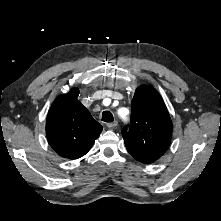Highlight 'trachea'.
<instances>
[{"mask_svg":"<svg viewBox=\"0 0 221 221\" xmlns=\"http://www.w3.org/2000/svg\"><path fill=\"white\" fill-rule=\"evenodd\" d=\"M101 117V120L104 122H112L114 120L113 115L110 111H104Z\"/></svg>","mask_w":221,"mask_h":221,"instance_id":"3493384b","label":"trachea"}]
</instances>
